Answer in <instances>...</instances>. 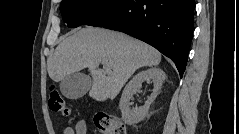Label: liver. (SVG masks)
Listing matches in <instances>:
<instances>
[{
  "mask_svg": "<svg viewBox=\"0 0 239 134\" xmlns=\"http://www.w3.org/2000/svg\"><path fill=\"white\" fill-rule=\"evenodd\" d=\"M161 54L126 34L86 27L65 38L48 63L50 78L59 82L84 68L92 75L89 96L97 101L114 99L132 74L143 66H157ZM105 64L110 72L98 69Z\"/></svg>",
  "mask_w": 239,
  "mask_h": 134,
  "instance_id": "6515ba94",
  "label": "liver"
}]
</instances>
